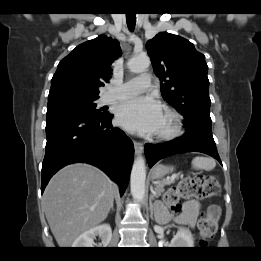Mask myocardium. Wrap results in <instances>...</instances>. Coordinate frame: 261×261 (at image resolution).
Returning a JSON list of instances; mask_svg holds the SVG:
<instances>
[{
    "label": "myocardium",
    "mask_w": 261,
    "mask_h": 261,
    "mask_svg": "<svg viewBox=\"0 0 261 261\" xmlns=\"http://www.w3.org/2000/svg\"><path fill=\"white\" fill-rule=\"evenodd\" d=\"M165 116L169 120V127L160 131L158 134V138L161 140H173L179 137L183 131V120L182 116L173 110H167Z\"/></svg>",
    "instance_id": "f54148a6"
}]
</instances>
